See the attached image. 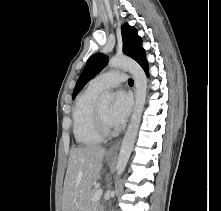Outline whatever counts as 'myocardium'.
Masks as SVG:
<instances>
[{"instance_id":"1","label":"myocardium","mask_w":221,"mask_h":211,"mask_svg":"<svg viewBox=\"0 0 221 211\" xmlns=\"http://www.w3.org/2000/svg\"><path fill=\"white\" fill-rule=\"evenodd\" d=\"M94 121L96 130L102 138H108L114 135V131L103 120L99 112L98 106H95L94 109Z\"/></svg>"}]
</instances>
